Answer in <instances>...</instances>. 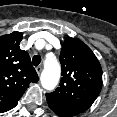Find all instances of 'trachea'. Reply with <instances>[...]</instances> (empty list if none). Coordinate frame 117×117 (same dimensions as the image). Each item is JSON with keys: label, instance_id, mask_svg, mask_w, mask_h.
<instances>
[{"label": "trachea", "instance_id": "1", "mask_svg": "<svg viewBox=\"0 0 117 117\" xmlns=\"http://www.w3.org/2000/svg\"><path fill=\"white\" fill-rule=\"evenodd\" d=\"M32 63L34 66H38L41 63V57L38 55L33 56Z\"/></svg>", "mask_w": 117, "mask_h": 117}]
</instances>
